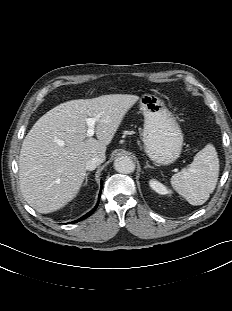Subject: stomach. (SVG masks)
<instances>
[{"label":"stomach","instance_id":"0dacf381","mask_svg":"<svg viewBox=\"0 0 232 311\" xmlns=\"http://www.w3.org/2000/svg\"><path fill=\"white\" fill-rule=\"evenodd\" d=\"M139 107L144 116L145 153L155 163H173L180 156L183 145V134L175 117L164 102L152 94L143 95Z\"/></svg>","mask_w":232,"mask_h":311}]
</instances>
